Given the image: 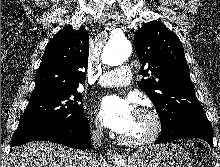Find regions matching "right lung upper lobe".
Instances as JSON below:
<instances>
[{"label": "right lung upper lobe", "mask_w": 220, "mask_h": 167, "mask_svg": "<svg viewBox=\"0 0 220 167\" xmlns=\"http://www.w3.org/2000/svg\"><path fill=\"white\" fill-rule=\"evenodd\" d=\"M88 55L89 37L85 28L73 30L69 26L60 30L45 48L31 98L83 84Z\"/></svg>", "instance_id": "cb5924a9"}]
</instances>
